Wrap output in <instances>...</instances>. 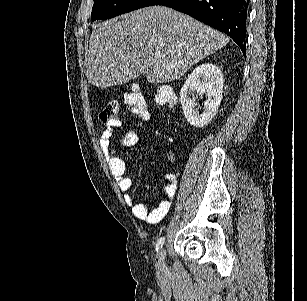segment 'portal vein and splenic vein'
Returning a JSON list of instances; mask_svg holds the SVG:
<instances>
[{
    "label": "portal vein and splenic vein",
    "mask_w": 307,
    "mask_h": 301,
    "mask_svg": "<svg viewBox=\"0 0 307 301\" xmlns=\"http://www.w3.org/2000/svg\"><path fill=\"white\" fill-rule=\"evenodd\" d=\"M156 58H160L161 54H155Z\"/></svg>",
    "instance_id": "18ae733b"
}]
</instances>
